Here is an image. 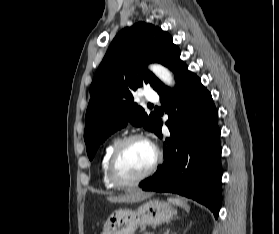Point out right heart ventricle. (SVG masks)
<instances>
[{
    "instance_id": "obj_1",
    "label": "right heart ventricle",
    "mask_w": 279,
    "mask_h": 234,
    "mask_svg": "<svg viewBox=\"0 0 279 234\" xmlns=\"http://www.w3.org/2000/svg\"><path fill=\"white\" fill-rule=\"evenodd\" d=\"M117 144V141H113L111 144H109L105 150L104 153L102 155L101 158V163H100V167H101V173H102V179H103V183L107 188H115L116 186L110 181L109 177H108V161H109V157L115 147V145Z\"/></svg>"
}]
</instances>
